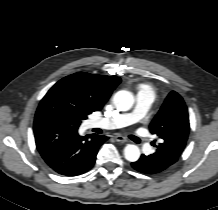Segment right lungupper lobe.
Returning a JSON list of instances; mask_svg holds the SVG:
<instances>
[{
  "label": "right lung upper lobe",
  "mask_w": 218,
  "mask_h": 210,
  "mask_svg": "<svg viewBox=\"0 0 218 210\" xmlns=\"http://www.w3.org/2000/svg\"><path fill=\"white\" fill-rule=\"evenodd\" d=\"M120 82L121 79L115 76L78 72L64 77L53 87L63 91L92 113L102 109Z\"/></svg>",
  "instance_id": "obj_1"
}]
</instances>
